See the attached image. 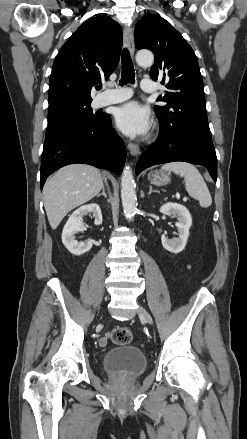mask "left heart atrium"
Returning a JSON list of instances; mask_svg holds the SVG:
<instances>
[{
	"instance_id": "left-heart-atrium-1",
	"label": "left heart atrium",
	"mask_w": 247,
	"mask_h": 439,
	"mask_svg": "<svg viewBox=\"0 0 247 439\" xmlns=\"http://www.w3.org/2000/svg\"><path fill=\"white\" fill-rule=\"evenodd\" d=\"M116 126L128 136H143L151 127V117L148 109L137 102H129L119 107L115 112Z\"/></svg>"
}]
</instances>
